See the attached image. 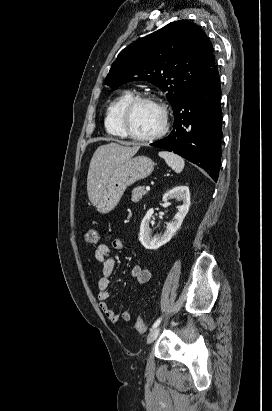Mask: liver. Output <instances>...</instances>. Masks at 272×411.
<instances>
[{"instance_id": "6515ba94", "label": "liver", "mask_w": 272, "mask_h": 411, "mask_svg": "<svg viewBox=\"0 0 272 411\" xmlns=\"http://www.w3.org/2000/svg\"><path fill=\"white\" fill-rule=\"evenodd\" d=\"M141 145L122 146L111 142L99 146L93 154L87 176L88 198L93 205L98 204L104 185L114 169L133 157Z\"/></svg>"}]
</instances>
